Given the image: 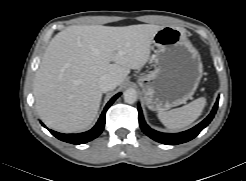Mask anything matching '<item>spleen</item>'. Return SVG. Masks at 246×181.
Segmentation results:
<instances>
[{"label": "spleen", "mask_w": 246, "mask_h": 181, "mask_svg": "<svg viewBox=\"0 0 246 181\" xmlns=\"http://www.w3.org/2000/svg\"><path fill=\"white\" fill-rule=\"evenodd\" d=\"M206 105V98L200 97L189 104L170 111L160 110L159 120L169 129H183L193 123L202 113Z\"/></svg>", "instance_id": "obj_1"}]
</instances>
